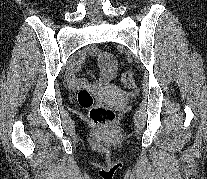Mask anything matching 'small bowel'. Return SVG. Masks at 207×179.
<instances>
[{
    "label": "small bowel",
    "mask_w": 207,
    "mask_h": 179,
    "mask_svg": "<svg viewBox=\"0 0 207 179\" xmlns=\"http://www.w3.org/2000/svg\"><path fill=\"white\" fill-rule=\"evenodd\" d=\"M84 56H96L98 59V67L100 70V79L95 82H89L83 78H77L76 73L84 62V57L76 61L72 67L69 77L68 85L71 88H88L98 89L102 86L108 85L116 76L117 63L112 54L107 51L101 50L98 47L92 46L86 49Z\"/></svg>",
    "instance_id": "1"
}]
</instances>
